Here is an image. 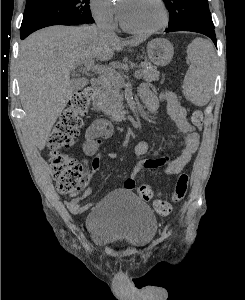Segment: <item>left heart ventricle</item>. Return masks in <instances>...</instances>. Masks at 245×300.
Returning <instances> with one entry per match:
<instances>
[{
	"label": "left heart ventricle",
	"instance_id": "b2bd125f",
	"mask_svg": "<svg viewBox=\"0 0 245 300\" xmlns=\"http://www.w3.org/2000/svg\"><path fill=\"white\" fill-rule=\"evenodd\" d=\"M121 13L128 25L140 29L156 27L164 17L157 0H123Z\"/></svg>",
	"mask_w": 245,
	"mask_h": 300
}]
</instances>
